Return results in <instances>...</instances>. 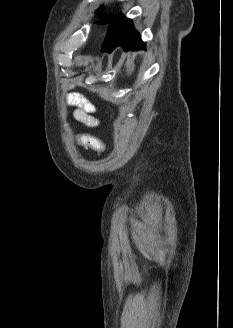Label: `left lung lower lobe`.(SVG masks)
<instances>
[{
	"instance_id": "0a47b994",
	"label": "left lung lower lobe",
	"mask_w": 233,
	"mask_h": 328,
	"mask_svg": "<svg viewBox=\"0 0 233 328\" xmlns=\"http://www.w3.org/2000/svg\"><path fill=\"white\" fill-rule=\"evenodd\" d=\"M117 46H122L124 51L139 50L145 47L140 35L133 28L132 20L120 14L112 21L101 51L110 53Z\"/></svg>"
}]
</instances>
